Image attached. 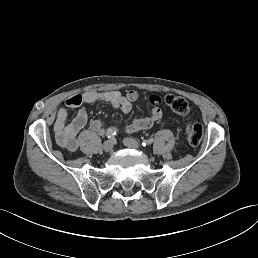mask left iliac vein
<instances>
[{
	"mask_svg": "<svg viewBox=\"0 0 258 258\" xmlns=\"http://www.w3.org/2000/svg\"><path fill=\"white\" fill-rule=\"evenodd\" d=\"M125 142L123 145L128 146L129 148H136V150H141V144L137 142L134 138L124 139Z\"/></svg>",
	"mask_w": 258,
	"mask_h": 258,
	"instance_id": "4c4485c4",
	"label": "left iliac vein"
}]
</instances>
